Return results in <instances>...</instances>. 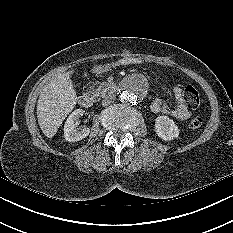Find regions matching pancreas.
<instances>
[{
	"mask_svg": "<svg viewBox=\"0 0 233 233\" xmlns=\"http://www.w3.org/2000/svg\"><path fill=\"white\" fill-rule=\"evenodd\" d=\"M115 86L107 82H102L96 89H92L91 94L93 97L99 99L105 97L109 92L113 91Z\"/></svg>",
	"mask_w": 233,
	"mask_h": 233,
	"instance_id": "1",
	"label": "pancreas"
}]
</instances>
